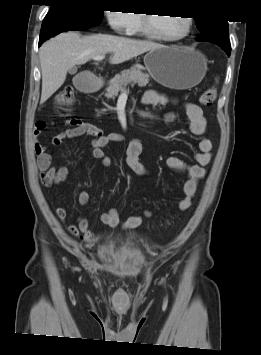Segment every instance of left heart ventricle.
Returning <instances> with one entry per match:
<instances>
[{
  "mask_svg": "<svg viewBox=\"0 0 261 355\" xmlns=\"http://www.w3.org/2000/svg\"><path fill=\"white\" fill-rule=\"evenodd\" d=\"M150 20L153 29L164 36L176 37L186 29L184 17L150 15Z\"/></svg>",
  "mask_w": 261,
  "mask_h": 355,
  "instance_id": "left-heart-ventricle-1",
  "label": "left heart ventricle"
}]
</instances>
